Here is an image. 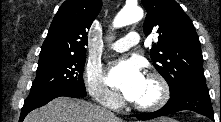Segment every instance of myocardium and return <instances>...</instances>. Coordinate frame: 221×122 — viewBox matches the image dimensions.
<instances>
[{"label":"myocardium","mask_w":221,"mask_h":122,"mask_svg":"<svg viewBox=\"0 0 221 122\" xmlns=\"http://www.w3.org/2000/svg\"><path fill=\"white\" fill-rule=\"evenodd\" d=\"M147 79L154 82L158 87L157 98L150 103H133V107L142 112H151L163 107L170 98V86L167 80L158 72H150Z\"/></svg>","instance_id":"1"}]
</instances>
